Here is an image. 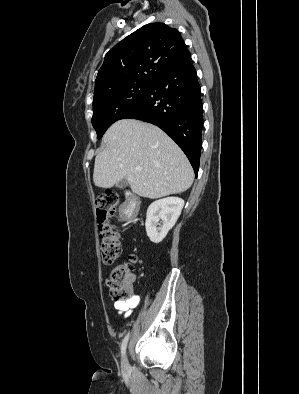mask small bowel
Returning a JSON list of instances; mask_svg holds the SVG:
<instances>
[{
	"mask_svg": "<svg viewBox=\"0 0 299 394\" xmlns=\"http://www.w3.org/2000/svg\"><path fill=\"white\" fill-rule=\"evenodd\" d=\"M139 302V296H133L128 301H116L114 307L118 313L123 314L124 317H128L132 310L137 306Z\"/></svg>",
	"mask_w": 299,
	"mask_h": 394,
	"instance_id": "1",
	"label": "small bowel"
}]
</instances>
